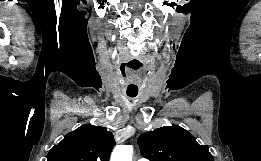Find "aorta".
Instances as JSON below:
<instances>
[{
	"mask_svg": "<svg viewBox=\"0 0 261 161\" xmlns=\"http://www.w3.org/2000/svg\"><path fill=\"white\" fill-rule=\"evenodd\" d=\"M132 154L131 145H118L113 150L110 161H132Z\"/></svg>",
	"mask_w": 261,
	"mask_h": 161,
	"instance_id": "1",
	"label": "aorta"
}]
</instances>
